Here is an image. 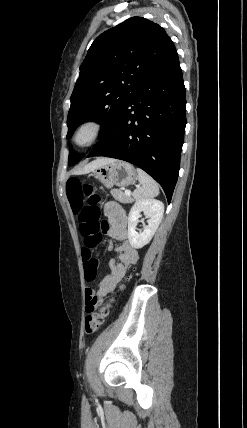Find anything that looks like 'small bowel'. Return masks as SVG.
Segmentation results:
<instances>
[{
    "instance_id": "1",
    "label": "small bowel",
    "mask_w": 247,
    "mask_h": 428,
    "mask_svg": "<svg viewBox=\"0 0 247 428\" xmlns=\"http://www.w3.org/2000/svg\"><path fill=\"white\" fill-rule=\"evenodd\" d=\"M104 214L107 217L106 232L111 238L119 241L115 247L117 255L109 259V273L103 277L96 288L85 289V301L88 298H95L99 301L100 298L113 291L125 276L128 267L138 260V251L129 242L125 211L116 202H107L104 206Z\"/></svg>"
}]
</instances>
